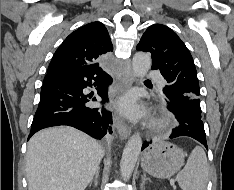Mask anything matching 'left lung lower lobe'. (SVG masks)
<instances>
[{"label":"left lung lower lobe","mask_w":234,"mask_h":190,"mask_svg":"<svg viewBox=\"0 0 234 190\" xmlns=\"http://www.w3.org/2000/svg\"><path fill=\"white\" fill-rule=\"evenodd\" d=\"M164 98L168 103L169 110L175 115L176 119L179 122V126L173 129V132L169 138H176L179 136L192 137L202 143L206 147V149H208L206 134L201 117L188 110L184 103L179 101H170L166 98L165 95ZM148 145V142H144L142 150L145 149Z\"/></svg>","instance_id":"0a47b994"}]
</instances>
